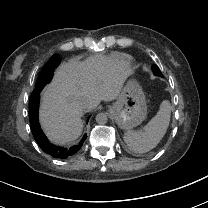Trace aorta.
<instances>
[{"label":"aorta","instance_id":"762f6f07","mask_svg":"<svg viewBox=\"0 0 208 208\" xmlns=\"http://www.w3.org/2000/svg\"><path fill=\"white\" fill-rule=\"evenodd\" d=\"M96 122L101 125L106 124L108 122V116L104 113H99L96 116Z\"/></svg>","mask_w":208,"mask_h":208}]
</instances>
